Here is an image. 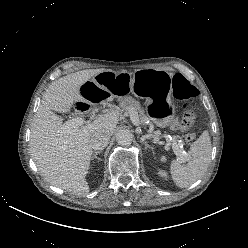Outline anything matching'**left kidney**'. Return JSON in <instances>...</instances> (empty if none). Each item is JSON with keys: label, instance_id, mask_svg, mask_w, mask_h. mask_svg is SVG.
Wrapping results in <instances>:
<instances>
[{"label": "left kidney", "instance_id": "left-kidney-1", "mask_svg": "<svg viewBox=\"0 0 248 248\" xmlns=\"http://www.w3.org/2000/svg\"><path fill=\"white\" fill-rule=\"evenodd\" d=\"M158 174H159L161 177L165 178V179L168 178L167 173H166L165 171H163V170H159Z\"/></svg>", "mask_w": 248, "mask_h": 248}]
</instances>
